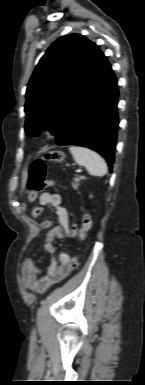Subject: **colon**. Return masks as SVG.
<instances>
[{
	"instance_id": "colon-1",
	"label": "colon",
	"mask_w": 145,
	"mask_h": 385,
	"mask_svg": "<svg viewBox=\"0 0 145 385\" xmlns=\"http://www.w3.org/2000/svg\"><path fill=\"white\" fill-rule=\"evenodd\" d=\"M64 159V155L60 151H49L43 155L41 159L34 160L29 168L27 173L26 187L31 200H35L39 192H41L45 186L46 182V173L48 164L51 163H61ZM91 217L88 213H84L82 217V222L79 226L73 228L74 235L80 240L83 241L86 237L87 232L91 228ZM71 264L73 267H76L78 264V259L76 257L71 259Z\"/></svg>"
}]
</instances>
